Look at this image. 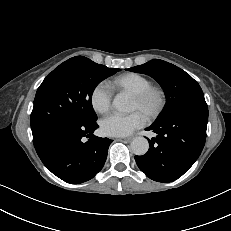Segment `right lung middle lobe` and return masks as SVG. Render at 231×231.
<instances>
[{
	"instance_id": "dd1d6c3e",
	"label": "right lung middle lobe",
	"mask_w": 231,
	"mask_h": 231,
	"mask_svg": "<svg viewBox=\"0 0 231 231\" xmlns=\"http://www.w3.org/2000/svg\"><path fill=\"white\" fill-rule=\"evenodd\" d=\"M119 69L76 56L54 69L39 86L31 113L34 139H42L56 125L96 121L92 94L96 86Z\"/></svg>"
}]
</instances>
